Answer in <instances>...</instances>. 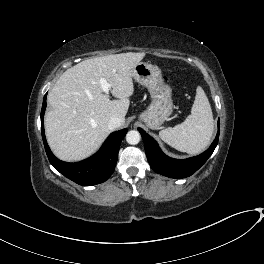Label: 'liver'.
I'll list each match as a JSON object with an SVG mask.
<instances>
[{"mask_svg":"<svg viewBox=\"0 0 264 264\" xmlns=\"http://www.w3.org/2000/svg\"><path fill=\"white\" fill-rule=\"evenodd\" d=\"M145 53H121L86 59L67 69L48 94L51 109L45 115L48 144L56 157L75 162L91 155L110 134L109 120L125 122L134 92L132 70ZM112 85L110 100L99 84Z\"/></svg>","mask_w":264,"mask_h":264,"instance_id":"6515ba94","label":"liver"}]
</instances>
